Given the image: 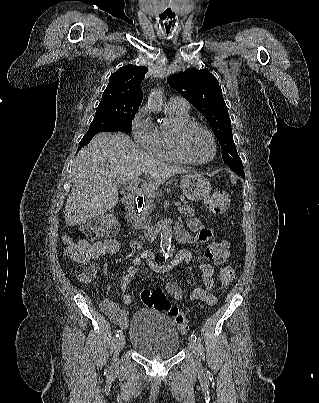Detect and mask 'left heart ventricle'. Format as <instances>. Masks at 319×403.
Returning a JSON list of instances; mask_svg holds the SVG:
<instances>
[{
	"label": "left heart ventricle",
	"mask_w": 319,
	"mask_h": 403,
	"mask_svg": "<svg viewBox=\"0 0 319 403\" xmlns=\"http://www.w3.org/2000/svg\"><path fill=\"white\" fill-rule=\"evenodd\" d=\"M185 146L188 154L195 160L203 161L212 155L211 141L200 129H194L187 135Z\"/></svg>",
	"instance_id": "left-heart-ventricle-1"
}]
</instances>
